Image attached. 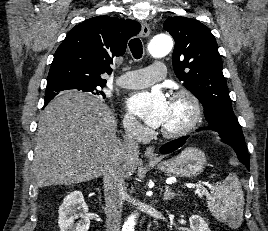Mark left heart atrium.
<instances>
[{
  "label": "left heart atrium",
  "instance_id": "left-heart-atrium-1",
  "mask_svg": "<svg viewBox=\"0 0 268 231\" xmlns=\"http://www.w3.org/2000/svg\"><path fill=\"white\" fill-rule=\"evenodd\" d=\"M130 112L152 128L161 127L168 108V100L159 88L137 92L127 101Z\"/></svg>",
  "mask_w": 268,
  "mask_h": 231
}]
</instances>
